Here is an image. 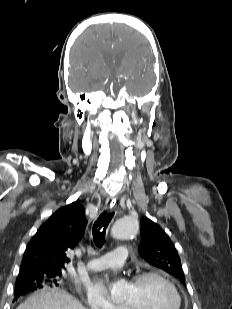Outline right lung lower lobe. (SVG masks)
<instances>
[{
    "label": "right lung lower lobe",
    "instance_id": "right-lung-lower-lobe-1",
    "mask_svg": "<svg viewBox=\"0 0 232 309\" xmlns=\"http://www.w3.org/2000/svg\"><path fill=\"white\" fill-rule=\"evenodd\" d=\"M37 288H40V286L35 280H32L25 285L16 286L14 290L15 298L26 295Z\"/></svg>",
    "mask_w": 232,
    "mask_h": 309
}]
</instances>
